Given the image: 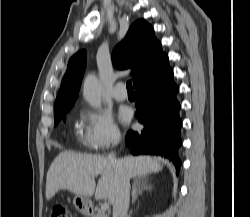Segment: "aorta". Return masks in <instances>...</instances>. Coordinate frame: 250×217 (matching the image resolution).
Wrapping results in <instances>:
<instances>
[{
    "instance_id": "obj_1",
    "label": "aorta",
    "mask_w": 250,
    "mask_h": 217,
    "mask_svg": "<svg viewBox=\"0 0 250 217\" xmlns=\"http://www.w3.org/2000/svg\"><path fill=\"white\" fill-rule=\"evenodd\" d=\"M101 91L102 86L98 78L93 74L87 75L83 84V96L91 107H101Z\"/></svg>"
}]
</instances>
